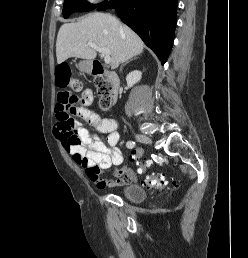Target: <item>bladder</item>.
<instances>
[{
  "label": "bladder",
  "instance_id": "bladder-1",
  "mask_svg": "<svg viewBox=\"0 0 248 258\" xmlns=\"http://www.w3.org/2000/svg\"><path fill=\"white\" fill-rule=\"evenodd\" d=\"M122 195L127 200H129L130 202H133V203L142 202L147 197L145 189L143 187H141L140 185H137V184L127 185L122 190Z\"/></svg>",
  "mask_w": 248,
  "mask_h": 258
}]
</instances>
